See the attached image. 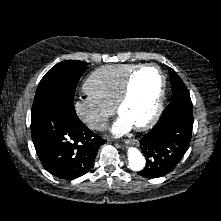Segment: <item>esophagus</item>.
<instances>
[{
  "mask_svg": "<svg viewBox=\"0 0 221 221\" xmlns=\"http://www.w3.org/2000/svg\"><path fill=\"white\" fill-rule=\"evenodd\" d=\"M126 144H131L134 146H138L139 145V140L138 139H128L126 140Z\"/></svg>",
  "mask_w": 221,
  "mask_h": 221,
  "instance_id": "34e87169",
  "label": "esophagus"
}]
</instances>
